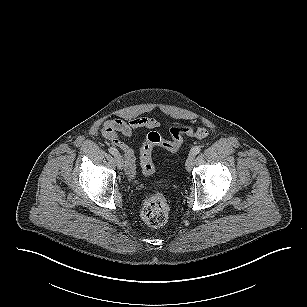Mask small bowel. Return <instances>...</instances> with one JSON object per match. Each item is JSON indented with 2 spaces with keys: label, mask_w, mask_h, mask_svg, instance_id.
<instances>
[{
  "label": "small bowel",
  "mask_w": 307,
  "mask_h": 307,
  "mask_svg": "<svg viewBox=\"0 0 307 307\" xmlns=\"http://www.w3.org/2000/svg\"><path fill=\"white\" fill-rule=\"evenodd\" d=\"M159 126L160 122L157 119L148 117H137L128 121L120 119H108L104 121L102 127L103 136L123 153L126 173L129 176L135 175L136 156L133 149L124 143L120 137H132L137 130H153Z\"/></svg>",
  "instance_id": "c3829d8e"
}]
</instances>
